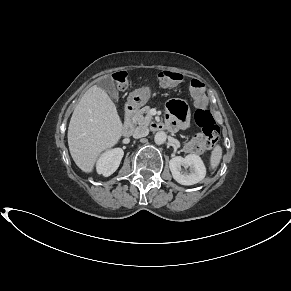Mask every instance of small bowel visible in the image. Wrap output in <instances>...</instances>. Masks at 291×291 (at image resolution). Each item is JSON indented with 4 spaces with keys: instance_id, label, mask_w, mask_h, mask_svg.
<instances>
[{
    "instance_id": "1",
    "label": "small bowel",
    "mask_w": 291,
    "mask_h": 291,
    "mask_svg": "<svg viewBox=\"0 0 291 291\" xmlns=\"http://www.w3.org/2000/svg\"><path fill=\"white\" fill-rule=\"evenodd\" d=\"M179 103L183 106V112L185 114L186 112V106L185 103L179 101ZM169 109V115L166 117V125L171 130H176L180 128H184L187 126V123L185 121L179 122L175 119V116L178 117L179 111L175 110L170 106V103L168 105Z\"/></svg>"
}]
</instances>
